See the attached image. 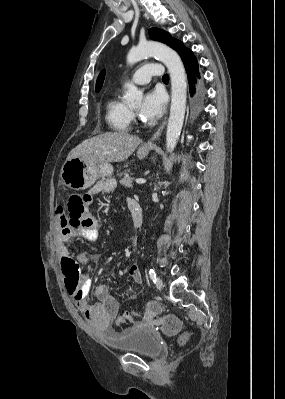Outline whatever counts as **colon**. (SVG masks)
I'll use <instances>...</instances> for the list:
<instances>
[{
  "label": "colon",
  "instance_id": "obj_1",
  "mask_svg": "<svg viewBox=\"0 0 285 399\" xmlns=\"http://www.w3.org/2000/svg\"><path fill=\"white\" fill-rule=\"evenodd\" d=\"M91 201V196L85 198H76L73 196L61 201V221L67 224L73 230L74 235L85 232L91 225V220L86 212V205ZM61 270L65 277L66 287L69 294L74 295L81 281V268L79 263L73 257H64L61 259ZM81 297V288H79L76 298ZM161 313V307L156 301H151L145 307V314L150 318H156ZM139 312L137 310H128L116 318L117 325H124L135 322V316ZM162 329L167 335H175L180 331V323L177 319L166 317L160 320ZM189 333L185 332L182 338L189 337Z\"/></svg>",
  "mask_w": 285,
  "mask_h": 399
}]
</instances>
